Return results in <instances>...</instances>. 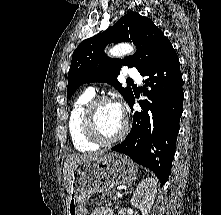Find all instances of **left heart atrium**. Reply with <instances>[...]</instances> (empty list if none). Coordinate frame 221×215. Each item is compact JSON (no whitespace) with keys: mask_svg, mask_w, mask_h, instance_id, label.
I'll return each mask as SVG.
<instances>
[{"mask_svg":"<svg viewBox=\"0 0 221 215\" xmlns=\"http://www.w3.org/2000/svg\"><path fill=\"white\" fill-rule=\"evenodd\" d=\"M112 105H113V108H114L116 114H117L120 118L123 119L124 110H123L122 104H121L120 102H117V101H116V102H113Z\"/></svg>","mask_w":221,"mask_h":215,"instance_id":"1","label":"left heart atrium"}]
</instances>
